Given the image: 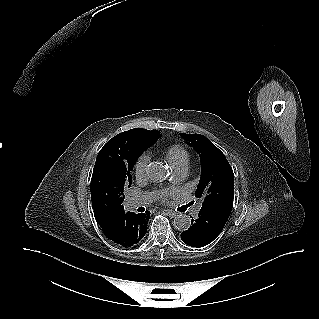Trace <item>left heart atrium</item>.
I'll use <instances>...</instances> for the list:
<instances>
[{
    "instance_id": "obj_1",
    "label": "left heart atrium",
    "mask_w": 319,
    "mask_h": 319,
    "mask_svg": "<svg viewBox=\"0 0 319 319\" xmlns=\"http://www.w3.org/2000/svg\"><path fill=\"white\" fill-rule=\"evenodd\" d=\"M173 194V191L171 190H164L162 192H160V198L161 200H166L169 196H171Z\"/></svg>"
}]
</instances>
